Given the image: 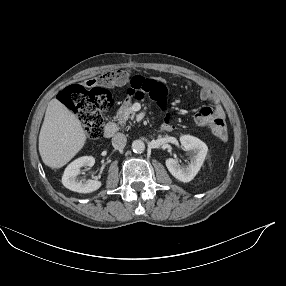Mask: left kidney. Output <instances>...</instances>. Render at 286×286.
I'll list each match as a JSON object with an SVG mask.
<instances>
[{
  "mask_svg": "<svg viewBox=\"0 0 286 286\" xmlns=\"http://www.w3.org/2000/svg\"><path fill=\"white\" fill-rule=\"evenodd\" d=\"M180 142L186 151H192V158L188 166L182 167L175 159L168 158L166 167L168 171L179 181H191L200 170L208 152L207 145L200 139L183 135L180 137Z\"/></svg>",
  "mask_w": 286,
  "mask_h": 286,
  "instance_id": "obj_1",
  "label": "left kidney"
}]
</instances>
